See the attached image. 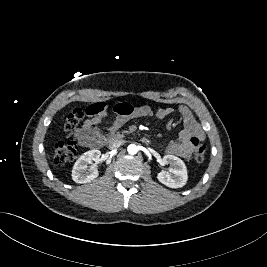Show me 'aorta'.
Segmentation results:
<instances>
[{
    "label": "aorta",
    "instance_id": "1",
    "mask_svg": "<svg viewBox=\"0 0 267 267\" xmlns=\"http://www.w3.org/2000/svg\"><path fill=\"white\" fill-rule=\"evenodd\" d=\"M127 151H128L129 154L135 155L138 152V146H136L135 144H130L127 147Z\"/></svg>",
    "mask_w": 267,
    "mask_h": 267
}]
</instances>
